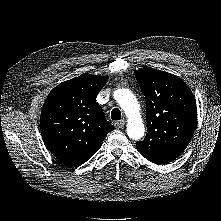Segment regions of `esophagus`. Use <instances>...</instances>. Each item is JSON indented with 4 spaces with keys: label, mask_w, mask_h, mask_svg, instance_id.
Here are the masks:
<instances>
[{
    "label": "esophagus",
    "mask_w": 221,
    "mask_h": 221,
    "mask_svg": "<svg viewBox=\"0 0 221 221\" xmlns=\"http://www.w3.org/2000/svg\"><path fill=\"white\" fill-rule=\"evenodd\" d=\"M116 128H123L125 126V120H119L114 123Z\"/></svg>",
    "instance_id": "obj_1"
}]
</instances>
